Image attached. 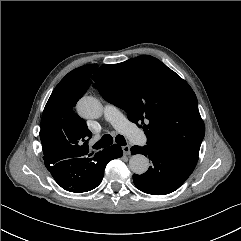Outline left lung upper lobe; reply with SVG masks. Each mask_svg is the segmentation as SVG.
<instances>
[{
  "mask_svg": "<svg viewBox=\"0 0 241 241\" xmlns=\"http://www.w3.org/2000/svg\"><path fill=\"white\" fill-rule=\"evenodd\" d=\"M92 78L106 101L125 110L130 121L141 122L148 146L198 161L205 126L195 93L178 74L142 55L103 65Z\"/></svg>",
  "mask_w": 241,
  "mask_h": 241,
  "instance_id": "obj_1",
  "label": "left lung upper lobe"
}]
</instances>
